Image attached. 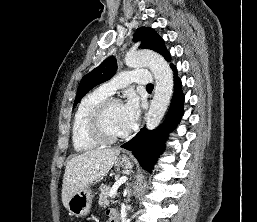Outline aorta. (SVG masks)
<instances>
[{"label": "aorta", "instance_id": "1", "mask_svg": "<svg viewBox=\"0 0 257 222\" xmlns=\"http://www.w3.org/2000/svg\"><path fill=\"white\" fill-rule=\"evenodd\" d=\"M128 67H149L156 81L155 93L146 117L149 130L155 129L162 120L173 93V74L167 61L160 55L148 51H130L125 57Z\"/></svg>", "mask_w": 257, "mask_h": 222}]
</instances>
